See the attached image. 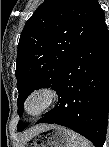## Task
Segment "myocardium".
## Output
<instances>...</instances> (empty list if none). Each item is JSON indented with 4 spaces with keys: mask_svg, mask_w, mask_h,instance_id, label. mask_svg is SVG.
Here are the masks:
<instances>
[{
    "mask_svg": "<svg viewBox=\"0 0 109 147\" xmlns=\"http://www.w3.org/2000/svg\"><path fill=\"white\" fill-rule=\"evenodd\" d=\"M35 97L42 98L43 103L41 107L39 108V110L33 113L29 110V102L31 99ZM57 99H58V92L54 88L39 87V88L32 90L25 98L24 110L27 114L31 116H39L45 113L46 111H48L55 104Z\"/></svg>",
    "mask_w": 109,
    "mask_h": 147,
    "instance_id": "myocardium-1",
    "label": "myocardium"
}]
</instances>
